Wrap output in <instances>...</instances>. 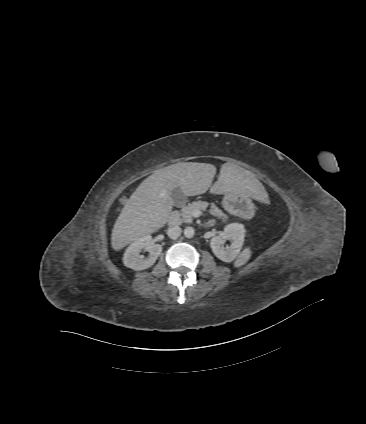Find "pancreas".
<instances>
[{
	"label": "pancreas",
	"instance_id": "pancreas-1",
	"mask_svg": "<svg viewBox=\"0 0 366 424\" xmlns=\"http://www.w3.org/2000/svg\"><path fill=\"white\" fill-rule=\"evenodd\" d=\"M208 207V203L207 202H202V201H198V202H193L191 204H188L187 206L183 207L181 210V220L185 223H192L193 221V212L200 210V211H204L206 208ZM209 213L218 218L221 219V221L223 223H226L228 221V216L226 214H224L222 212V210H220L217 206H215L214 204H212L210 206V210Z\"/></svg>",
	"mask_w": 366,
	"mask_h": 424
}]
</instances>
